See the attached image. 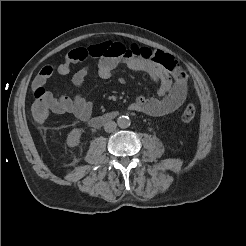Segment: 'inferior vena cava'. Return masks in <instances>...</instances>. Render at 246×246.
Returning a JSON list of instances; mask_svg holds the SVG:
<instances>
[{
	"instance_id": "inferior-vena-cava-1",
	"label": "inferior vena cava",
	"mask_w": 246,
	"mask_h": 246,
	"mask_svg": "<svg viewBox=\"0 0 246 246\" xmlns=\"http://www.w3.org/2000/svg\"><path fill=\"white\" fill-rule=\"evenodd\" d=\"M117 127V124L114 121H108L104 124V130L106 132H113Z\"/></svg>"
}]
</instances>
